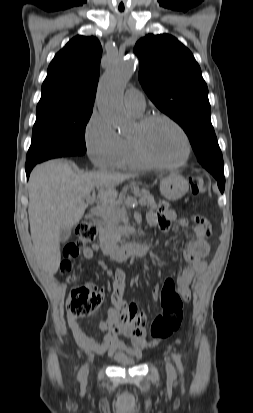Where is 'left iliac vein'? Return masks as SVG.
Here are the masks:
<instances>
[{"mask_svg": "<svg viewBox=\"0 0 253 413\" xmlns=\"http://www.w3.org/2000/svg\"><path fill=\"white\" fill-rule=\"evenodd\" d=\"M166 371H167V374L170 378L175 377V368L170 362L166 363Z\"/></svg>", "mask_w": 253, "mask_h": 413, "instance_id": "1", "label": "left iliac vein"}]
</instances>
